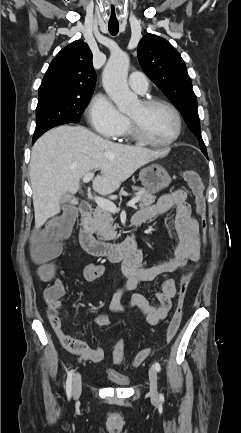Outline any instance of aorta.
Instances as JSON below:
<instances>
[{
    "mask_svg": "<svg viewBox=\"0 0 241 433\" xmlns=\"http://www.w3.org/2000/svg\"><path fill=\"white\" fill-rule=\"evenodd\" d=\"M129 57L124 52L113 53L103 70V86L122 113L129 112L139 100L127 84Z\"/></svg>",
    "mask_w": 241,
    "mask_h": 433,
    "instance_id": "762f6f07",
    "label": "aorta"
}]
</instances>
